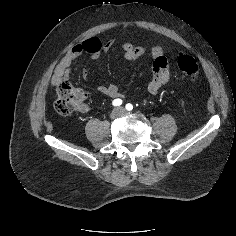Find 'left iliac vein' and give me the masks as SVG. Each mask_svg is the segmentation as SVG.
Here are the masks:
<instances>
[{
    "mask_svg": "<svg viewBox=\"0 0 236 236\" xmlns=\"http://www.w3.org/2000/svg\"><path fill=\"white\" fill-rule=\"evenodd\" d=\"M123 109V108H122ZM127 113V111H125L124 109H123V113L122 114H126Z\"/></svg>",
    "mask_w": 236,
    "mask_h": 236,
    "instance_id": "obj_1",
    "label": "left iliac vein"
}]
</instances>
